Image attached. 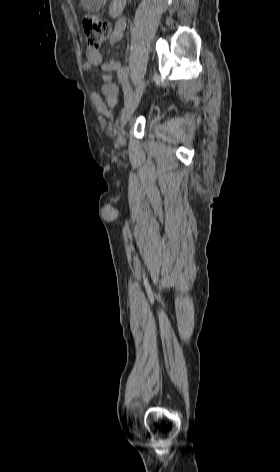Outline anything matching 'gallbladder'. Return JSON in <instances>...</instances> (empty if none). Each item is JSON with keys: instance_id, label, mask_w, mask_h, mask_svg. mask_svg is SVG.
I'll return each mask as SVG.
<instances>
[{"instance_id": "gallbladder-1", "label": "gallbladder", "mask_w": 280, "mask_h": 472, "mask_svg": "<svg viewBox=\"0 0 280 472\" xmlns=\"http://www.w3.org/2000/svg\"><path fill=\"white\" fill-rule=\"evenodd\" d=\"M106 0H81L84 11L96 13L105 4Z\"/></svg>"}]
</instances>
